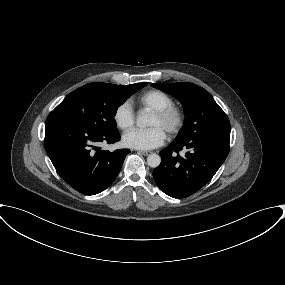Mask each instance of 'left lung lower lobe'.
Segmentation results:
<instances>
[{
	"label": "left lung lower lobe",
	"mask_w": 285,
	"mask_h": 285,
	"mask_svg": "<svg viewBox=\"0 0 285 285\" xmlns=\"http://www.w3.org/2000/svg\"><path fill=\"white\" fill-rule=\"evenodd\" d=\"M229 143L230 139L217 137L174 141L160 152L161 164L153 171L156 184L173 198L194 194L211 180L225 161ZM181 150L186 151L183 157L178 154Z\"/></svg>",
	"instance_id": "left-lung-lower-lobe-1"
}]
</instances>
